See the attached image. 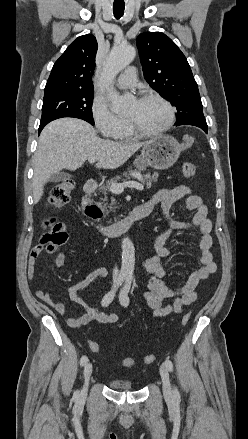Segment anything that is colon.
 Here are the masks:
<instances>
[{
    "instance_id": "5ec220e1",
    "label": "colon",
    "mask_w": 248,
    "mask_h": 439,
    "mask_svg": "<svg viewBox=\"0 0 248 439\" xmlns=\"http://www.w3.org/2000/svg\"><path fill=\"white\" fill-rule=\"evenodd\" d=\"M197 167L193 162H184L182 165V173L186 179H191L196 173ZM74 188V183L71 180H64L58 183L51 191L48 203L54 208L61 207L69 202L72 191ZM46 232L41 237L39 244L36 246L38 249L45 251H52L58 246L64 244L67 240V232L65 226L56 221L55 219H50L45 222ZM190 314L187 313L183 316L181 323L186 325L189 322ZM90 349L93 352H100V347L97 343L90 341ZM156 356L154 354L147 355L143 358L144 364H151L155 361ZM120 364L125 367H132L136 364V360L133 358H123Z\"/></svg>"
}]
</instances>
